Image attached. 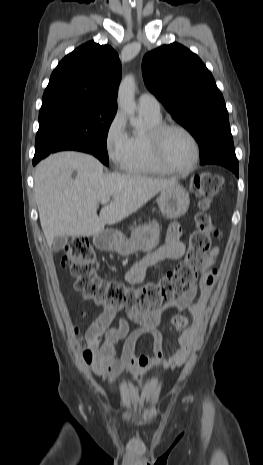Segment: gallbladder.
<instances>
[{
    "instance_id": "1",
    "label": "gallbladder",
    "mask_w": 263,
    "mask_h": 465,
    "mask_svg": "<svg viewBox=\"0 0 263 465\" xmlns=\"http://www.w3.org/2000/svg\"><path fill=\"white\" fill-rule=\"evenodd\" d=\"M68 238L67 236H58L54 239L52 248L55 252H59L62 250L65 245L67 244Z\"/></svg>"
}]
</instances>
